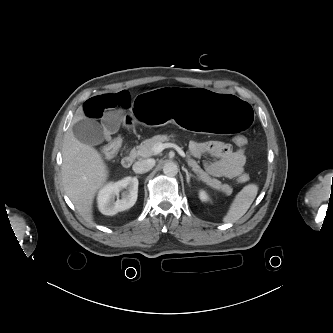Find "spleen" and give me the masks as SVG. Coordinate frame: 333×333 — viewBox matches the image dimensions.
<instances>
[{"label": "spleen", "mask_w": 333, "mask_h": 333, "mask_svg": "<svg viewBox=\"0 0 333 333\" xmlns=\"http://www.w3.org/2000/svg\"><path fill=\"white\" fill-rule=\"evenodd\" d=\"M258 193L256 184H248L238 192L230 205L228 213L224 216L225 223H233L239 220L249 209Z\"/></svg>", "instance_id": "spleen-1"}]
</instances>
